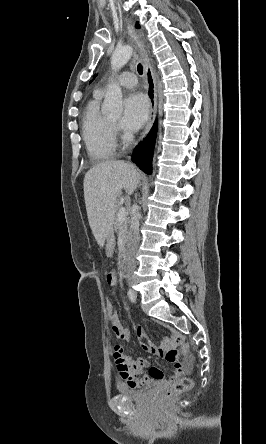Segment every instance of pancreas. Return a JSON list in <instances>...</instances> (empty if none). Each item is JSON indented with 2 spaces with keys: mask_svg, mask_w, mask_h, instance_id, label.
<instances>
[{
  "mask_svg": "<svg viewBox=\"0 0 266 444\" xmlns=\"http://www.w3.org/2000/svg\"><path fill=\"white\" fill-rule=\"evenodd\" d=\"M122 207L120 205H117L115 210H116V216H115V221H114V229L116 232H121L122 235V239L125 241L126 237H127V233H128V223H129V218H128V214L126 213V216L119 220L118 219V211L121 209Z\"/></svg>",
  "mask_w": 266,
  "mask_h": 444,
  "instance_id": "1",
  "label": "pancreas"
}]
</instances>
